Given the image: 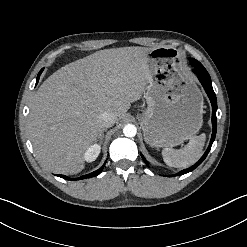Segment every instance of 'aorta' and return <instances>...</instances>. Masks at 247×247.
Returning <instances> with one entry per match:
<instances>
[{"instance_id": "obj_1", "label": "aorta", "mask_w": 247, "mask_h": 247, "mask_svg": "<svg viewBox=\"0 0 247 247\" xmlns=\"http://www.w3.org/2000/svg\"><path fill=\"white\" fill-rule=\"evenodd\" d=\"M123 133L126 137H134L137 133V128L133 124H127L123 128Z\"/></svg>"}]
</instances>
